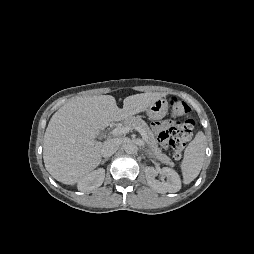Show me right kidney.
<instances>
[{
	"label": "right kidney",
	"mask_w": 254,
	"mask_h": 254,
	"mask_svg": "<svg viewBox=\"0 0 254 254\" xmlns=\"http://www.w3.org/2000/svg\"><path fill=\"white\" fill-rule=\"evenodd\" d=\"M105 178V170L99 168L90 172L86 177L78 182V189L83 192H91L100 187Z\"/></svg>",
	"instance_id": "right-kidney-1"
}]
</instances>
